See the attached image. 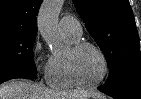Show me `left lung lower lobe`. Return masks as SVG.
<instances>
[{"label":"left lung lower lobe","mask_w":141,"mask_h":99,"mask_svg":"<svg viewBox=\"0 0 141 99\" xmlns=\"http://www.w3.org/2000/svg\"><path fill=\"white\" fill-rule=\"evenodd\" d=\"M101 92L115 99H141V78L123 79L98 87Z\"/></svg>","instance_id":"0a47b994"}]
</instances>
